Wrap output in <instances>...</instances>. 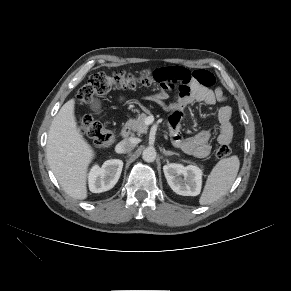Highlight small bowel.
Returning <instances> with one entry per match:
<instances>
[{"label": "small bowel", "instance_id": "1", "mask_svg": "<svg viewBox=\"0 0 291 291\" xmlns=\"http://www.w3.org/2000/svg\"><path fill=\"white\" fill-rule=\"evenodd\" d=\"M158 74L165 78L166 83H161L160 90L152 96V99L171 113L170 128L173 143L188 154L204 158L210 153L211 131L203 130L190 137L184 138L180 126L184 109L192 103H201L207 106L220 103L217 110L219 124L218 143L229 144L233 137V125L231 123L232 110L225 104L226 96L221 88L212 89L214 77L208 71L200 70L190 72L188 69L175 66L157 69ZM205 73L207 79L202 81L198 74ZM168 82L178 85V94L172 102L166 103L168 94Z\"/></svg>", "mask_w": 291, "mask_h": 291}]
</instances>
